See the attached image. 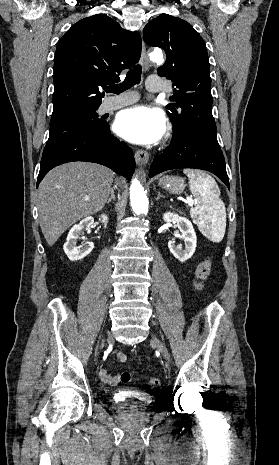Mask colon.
<instances>
[{
  "label": "colon",
  "instance_id": "obj_1",
  "mask_svg": "<svg viewBox=\"0 0 279 465\" xmlns=\"http://www.w3.org/2000/svg\"><path fill=\"white\" fill-rule=\"evenodd\" d=\"M211 269V261L210 259L203 260L197 267L196 271V288L201 289L203 285V281L208 277ZM132 379V375L130 372L125 371L121 374V381L124 383L130 382ZM147 385L151 388H157L160 386V380L158 378L152 377L147 380Z\"/></svg>",
  "mask_w": 279,
  "mask_h": 465
}]
</instances>
